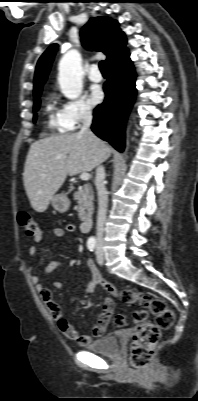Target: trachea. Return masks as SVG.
Segmentation results:
<instances>
[{
  "instance_id": "1",
  "label": "trachea",
  "mask_w": 198,
  "mask_h": 401,
  "mask_svg": "<svg viewBox=\"0 0 198 401\" xmlns=\"http://www.w3.org/2000/svg\"><path fill=\"white\" fill-rule=\"evenodd\" d=\"M99 68H100V71H101L102 73H107V68H106V64H105L104 61H101V62L99 63Z\"/></svg>"
}]
</instances>
